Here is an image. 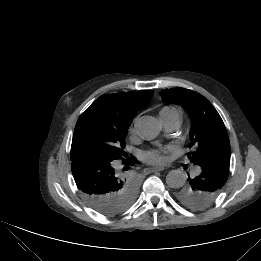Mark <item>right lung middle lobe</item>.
<instances>
[{"instance_id": "dd1d6c3e", "label": "right lung middle lobe", "mask_w": 261, "mask_h": 261, "mask_svg": "<svg viewBox=\"0 0 261 261\" xmlns=\"http://www.w3.org/2000/svg\"><path fill=\"white\" fill-rule=\"evenodd\" d=\"M128 127L129 125L88 108L76 124L71 155L81 153L109 161L127 158L123 149ZM137 191V181L128 178L119 197L123 196L124 203L128 207L134 201Z\"/></svg>"}]
</instances>
